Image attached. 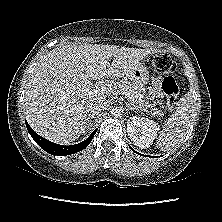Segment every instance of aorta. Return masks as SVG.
<instances>
[{
	"label": "aorta",
	"instance_id": "1",
	"mask_svg": "<svg viewBox=\"0 0 222 222\" xmlns=\"http://www.w3.org/2000/svg\"><path fill=\"white\" fill-rule=\"evenodd\" d=\"M124 113V109L122 106H115L111 109V115L114 117H121Z\"/></svg>",
	"mask_w": 222,
	"mask_h": 222
}]
</instances>
